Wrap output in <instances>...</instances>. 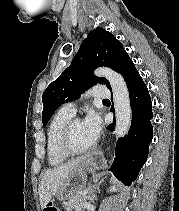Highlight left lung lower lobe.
I'll return each mask as SVG.
<instances>
[{
  "instance_id": "obj_1",
  "label": "left lung lower lobe",
  "mask_w": 179,
  "mask_h": 211,
  "mask_svg": "<svg viewBox=\"0 0 179 211\" xmlns=\"http://www.w3.org/2000/svg\"><path fill=\"white\" fill-rule=\"evenodd\" d=\"M118 72L123 75L130 93L132 122L128 134L117 141L110 171L123 184L130 185L148 157L153 137L152 103L147 86L128 55L121 62ZM107 129L113 131L114 125H108Z\"/></svg>"
}]
</instances>
